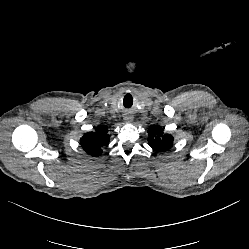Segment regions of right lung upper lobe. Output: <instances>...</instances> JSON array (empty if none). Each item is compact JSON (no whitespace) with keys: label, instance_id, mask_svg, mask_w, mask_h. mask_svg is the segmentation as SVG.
<instances>
[{"label":"right lung upper lobe","instance_id":"cb5924a9","mask_svg":"<svg viewBox=\"0 0 249 249\" xmlns=\"http://www.w3.org/2000/svg\"><path fill=\"white\" fill-rule=\"evenodd\" d=\"M107 132V126L100 125L95 128V132L86 133L80 139L83 150L91 156H99L102 152V148L109 143V135Z\"/></svg>","mask_w":249,"mask_h":249}]
</instances>
